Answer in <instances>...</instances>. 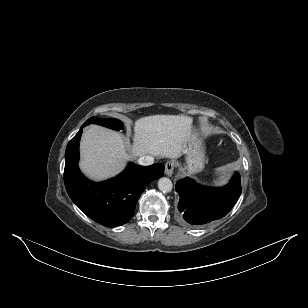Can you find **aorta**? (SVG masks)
<instances>
[{
    "instance_id": "762f6f07",
    "label": "aorta",
    "mask_w": 308,
    "mask_h": 308,
    "mask_svg": "<svg viewBox=\"0 0 308 308\" xmlns=\"http://www.w3.org/2000/svg\"><path fill=\"white\" fill-rule=\"evenodd\" d=\"M173 184L172 181L169 178L166 177H162L159 179L158 181V188L166 193V192H170L172 190Z\"/></svg>"
}]
</instances>
